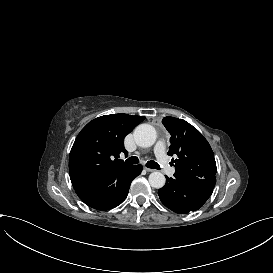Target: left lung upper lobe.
Wrapping results in <instances>:
<instances>
[{
	"mask_svg": "<svg viewBox=\"0 0 273 273\" xmlns=\"http://www.w3.org/2000/svg\"><path fill=\"white\" fill-rule=\"evenodd\" d=\"M163 125L171 134L168 155H177L175 172L189 177L209 178L217 172L214 153L204 136L188 122L164 117Z\"/></svg>",
	"mask_w": 273,
	"mask_h": 273,
	"instance_id": "5c2ea615",
	"label": "left lung upper lobe"
}]
</instances>
